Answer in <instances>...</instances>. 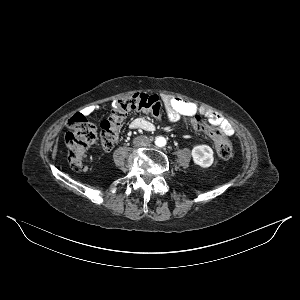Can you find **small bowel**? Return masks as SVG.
<instances>
[{
    "label": "small bowel",
    "mask_w": 300,
    "mask_h": 300,
    "mask_svg": "<svg viewBox=\"0 0 300 300\" xmlns=\"http://www.w3.org/2000/svg\"><path fill=\"white\" fill-rule=\"evenodd\" d=\"M163 101L167 110V117L171 121L178 120L182 115L191 116L195 114L204 115L209 123L216 126L225 136H231L234 133L232 125L225 120L219 113L211 110L205 106H199L191 101H187L178 97L165 95ZM95 109L93 107H86L80 115L90 116ZM131 128L142 129L145 131H152L154 125L147 119L139 117L131 122Z\"/></svg>",
    "instance_id": "small-bowel-1"
}]
</instances>
